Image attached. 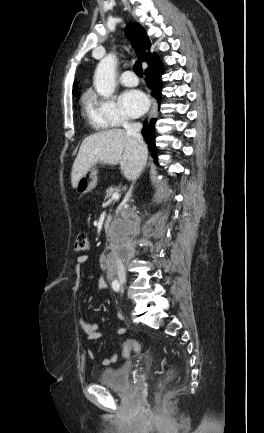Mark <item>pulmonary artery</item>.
<instances>
[{
  "label": "pulmonary artery",
  "instance_id": "pulmonary-artery-1",
  "mask_svg": "<svg viewBox=\"0 0 264 433\" xmlns=\"http://www.w3.org/2000/svg\"><path fill=\"white\" fill-rule=\"evenodd\" d=\"M120 81L124 86L127 87H133L138 84V78L131 70H125L120 77Z\"/></svg>",
  "mask_w": 264,
  "mask_h": 433
}]
</instances>
